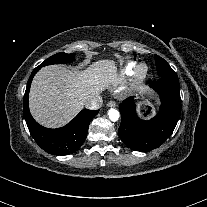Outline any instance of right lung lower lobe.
<instances>
[{
  "instance_id": "right-lung-lower-lobe-1",
  "label": "right lung lower lobe",
  "mask_w": 207,
  "mask_h": 207,
  "mask_svg": "<svg viewBox=\"0 0 207 207\" xmlns=\"http://www.w3.org/2000/svg\"><path fill=\"white\" fill-rule=\"evenodd\" d=\"M40 69L36 67L33 70L23 99V114L28 129L36 143L48 153L58 155L75 153L86 139L89 123L99 110H82L61 128L49 129L38 124L30 114L28 99L32 79Z\"/></svg>"
}]
</instances>
